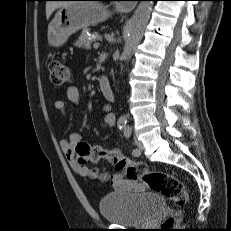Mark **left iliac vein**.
Returning a JSON list of instances; mask_svg holds the SVG:
<instances>
[{
  "label": "left iliac vein",
  "mask_w": 231,
  "mask_h": 231,
  "mask_svg": "<svg viewBox=\"0 0 231 231\" xmlns=\"http://www.w3.org/2000/svg\"><path fill=\"white\" fill-rule=\"evenodd\" d=\"M134 141H135V144H136L138 150L142 151L144 148L142 142L139 139H137L136 137H134Z\"/></svg>",
  "instance_id": "left-iliac-vein-1"
}]
</instances>
